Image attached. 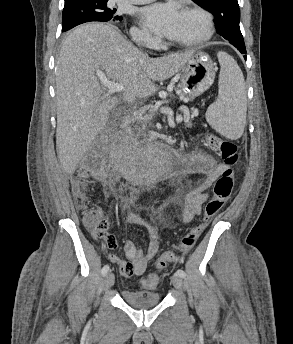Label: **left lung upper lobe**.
<instances>
[{
  "instance_id": "left-lung-upper-lobe-1",
  "label": "left lung upper lobe",
  "mask_w": 293,
  "mask_h": 344,
  "mask_svg": "<svg viewBox=\"0 0 293 344\" xmlns=\"http://www.w3.org/2000/svg\"><path fill=\"white\" fill-rule=\"evenodd\" d=\"M215 17L217 32L233 45H244L240 31V9L237 0H192Z\"/></svg>"
}]
</instances>
